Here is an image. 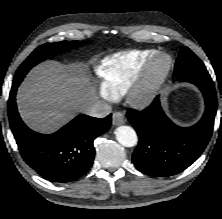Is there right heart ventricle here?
Instances as JSON below:
<instances>
[{
  "label": "right heart ventricle",
  "instance_id": "right-heart-ventricle-1",
  "mask_svg": "<svg viewBox=\"0 0 222 219\" xmlns=\"http://www.w3.org/2000/svg\"><path fill=\"white\" fill-rule=\"evenodd\" d=\"M158 52L154 49H133L114 53L94 67L101 93L116 98L138 78L145 64Z\"/></svg>",
  "mask_w": 222,
  "mask_h": 219
}]
</instances>
